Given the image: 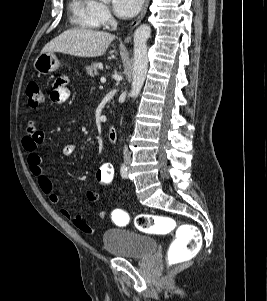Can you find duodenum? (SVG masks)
<instances>
[{"label": "duodenum", "mask_w": 267, "mask_h": 301, "mask_svg": "<svg viewBox=\"0 0 267 301\" xmlns=\"http://www.w3.org/2000/svg\"><path fill=\"white\" fill-rule=\"evenodd\" d=\"M117 136H118V132L116 130V128L111 127L108 130V134H107V138L109 140V142H115L117 140Z\"/></svg>", "instance_id": "410a0bca"}]
</instances>
